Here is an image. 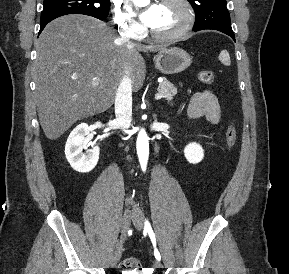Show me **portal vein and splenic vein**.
<instances>
[{
  "instance_id": "portal-vein-and-splenic-vein-1",
  "label": "portal vein and splenic vein",
  "mask_w": 289,
  "mask_h": 274,
  "mask_svg": "<svg viewBox=\"0 0 289 274\" xmlns=\"http://www.w3.org/2000/svg\"><path fill=\"white\" fill-rule=\"evenodd\" d=\"M161 98H162V95H161L160 93H157V94L155 95V99L159 100V99H161Z\"/></svg>"
}]
</instances>
